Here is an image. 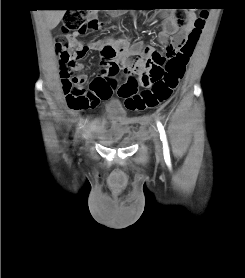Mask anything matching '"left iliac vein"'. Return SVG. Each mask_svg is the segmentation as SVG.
Returning a JSON list of instances; mask_svg holds the SVG:
<instances>
[{
	"label": "left iliac vein",
	"mask_w": 245,
	"mask_h": 278,
	"mask_svg": "<svg viewBox=\"0 0 245 278\" xmlns=\"http://www.w3.org/2000/svg\"><path fill=\"white\" fill-rule=\"evenodd\" d=\"M151 134H152V139H153L156 155L158 158L162 159L163 152H162V144L160 141L159 133L156 129H153Z\"/></svg>",
	"instance_id": "4c4485c4"
}]
</instances>
